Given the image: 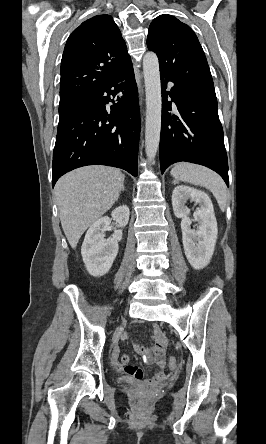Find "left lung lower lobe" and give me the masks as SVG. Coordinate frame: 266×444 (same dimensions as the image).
<instances>
[{
	"mask_svg": "<svg viewBox=\"0 0 266 444\" xmlns=\"http://www.w3.org/2000/svg\"><path fill=\"white\" fill-rule=\"evenodd\" d=\"M162 93V125L160 137L161 173L173 163L186 161L216 171L229 186L227 154L223 129L218 116L213 84L175 81L160 72ZM174 86L166 92L167 82ZM170 95L177 107L173 114Z\"/></svg>",
	"mask_w": 266,
	"mask_h": 444,
	"instance_id": "left-lung-lower-lobe-1",
	"label": "left lung lower lobe"
}]
</instances>
